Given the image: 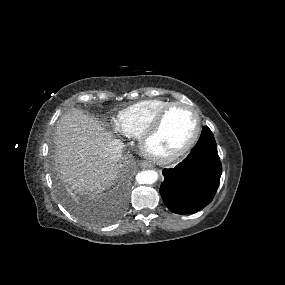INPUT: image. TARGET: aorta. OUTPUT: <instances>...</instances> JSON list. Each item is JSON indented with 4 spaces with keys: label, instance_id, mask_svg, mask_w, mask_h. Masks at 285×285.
I'll use <instances>...</instances> for the list:
<instances>
[{
    "label": "aorta",
    "instance_id": "762f6f07",
    "mask_svg": "<svg viewBox=\"0 0 285 285\" xmlns=\"http://www.w3.org/2000/svg\"><path fill=\"white\" fill-rule=\"evenodd\" d=\"M158 179V173L154 170L141 171L136 175L139 184H153Z\"/></svg>",
    "mask_w": 285,
    "mask_h": 285
}]
</instances>
